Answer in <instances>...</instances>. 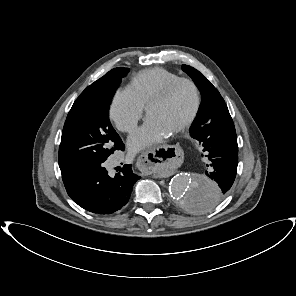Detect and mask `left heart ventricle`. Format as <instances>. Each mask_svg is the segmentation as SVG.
<instances>
[{
	"mask_svg": "<svg viewBox=\"0 0 296 296\" xmlns=\"http://www.w3.org/2000/svg\"><path fill=\"white\" fill-rule=\"evenodd\" d=\"M194 102L195 97L192 88L183 85L168 100L153 106L149 112V117L155 119L168 131L173 132L189 117Z\"/></svg>",
	"mask_w": 296,
	"mask_h": 296,
	"instance_id": "b2bd125f",
	"label": "left heart ventricle"
}]
</instances>
